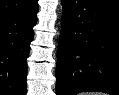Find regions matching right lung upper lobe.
Wrapping results in <instances>:
<instances>
[{
    "label": "right lung upper lobe",
    "mask_w": 119,
    "mask_h": 95,
    "mask_svg": "<svg viewBox=\"0 0 119 95\" xmlns=\"http://www.w3.org/2000/svg\"><path fill=\"white\" fill-rule=\"evenodd\" d=\"M36 1L37 0H0V21L27 9Z\"/></svg>",
    "instance_id": "right-lung-upper-lobe-1"
}]
</instances>
